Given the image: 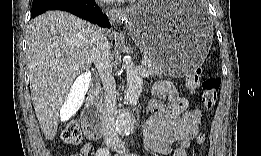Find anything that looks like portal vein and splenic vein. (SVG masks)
I'll return each mask as SVG.
<instances>
[{
	"label": "portal vein and splenic vein",
	"mask_w": 261,
	"mask_h": 156,
	"mask_svg": "<svg viewBox=\"0 0 261 156\" xmlns=\"http://www.w3.org/2000/svg\"><path fill=\"white\" fill-rule=\"evenodd\" d=\"M141 63H142V65H144V66L147 65V64H148L147 58L145 57V58L142 60Z\"/></svg>",
	"instance_id": "1"
}]
</instances>
